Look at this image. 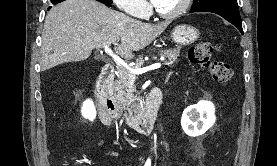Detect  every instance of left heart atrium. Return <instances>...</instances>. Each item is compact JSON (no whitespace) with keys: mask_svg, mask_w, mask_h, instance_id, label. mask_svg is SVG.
I'll return each mask as SVG.
<instances>
[{"mask_svg":"<svg viewBox=\"0 0 277 166\" xmlns=\"http://www.w3.org/2000/svg\"><path fill=\"white\" fill-rule=\"evenodd\" d=\"M153 4H157L159 0H151Z\"/></svg>","mask_w":277,"mask_h":166,"instance_id":"39dd6f15","label":"left heart atrium"}]
</instances>
